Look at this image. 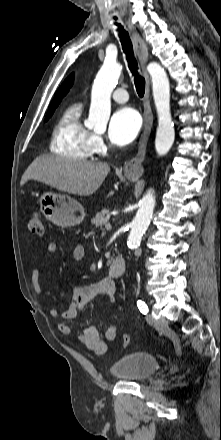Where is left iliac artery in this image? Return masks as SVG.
<instances>
[{
	"mask_svg": "<svg viewBox=\"0 0 221 440\" xmlns=\"http://www.w3.org/2000/svg\"><path fill=\"white\" fill-rule=\"evenodd\" d=\"M137 306H138V308H139V310H140V312H141L142 314H147V312H148V306L145 304L144 301L138 300V301H137Z\"/></svg>",
	"mask_w": 221,
	"mask_h": 440,
	"instance_id": "44dca946",
	"label": "left iliac artery"
}]
</instances>
